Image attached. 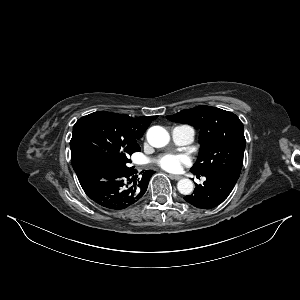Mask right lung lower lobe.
<instances>
[{
	"label": "right lung lower lobe",
	"instance_id": "obj_1",
	"mask_svg": "<svg viewBox=\"0 0 300 300\" xmlns=\"http://www.w3.org/2000/svg\"><path fill=\"white\" fill-rule=\"evenodd\" d=\"M87 196L112 210L125 209L145 194L154 171L140 172L110 161L91 162L75 171Z\"/></svg>",
	"mask_w": 300,
	"mask_h": 300
}]
</instances>
